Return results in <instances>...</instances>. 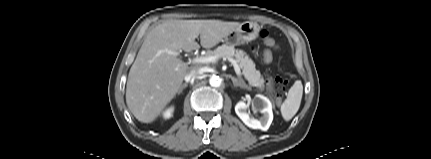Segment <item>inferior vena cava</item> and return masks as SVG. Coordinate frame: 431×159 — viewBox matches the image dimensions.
I'll use <instances>...</instances> for the list:
<instances>
[{
    "instance_id": "602c4592",
    "label": "inferior vena cava",
    "mask_w": 431,
    "mask_h": 159,
    "mask_svg": "<svg viewBox=\"0 0 431 159\" xmlns=\"http://www.w3.org/2000/svg\"><path fill=\"white\" fill-rule=\"evenodd\" d=\"M202 73H203V71L201 68H194L185 76V81L189 82L191 80H194L195 78H197Z\"/></svg>"
}]
</instances>
